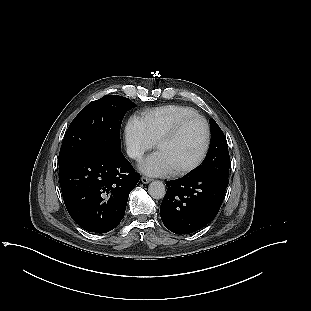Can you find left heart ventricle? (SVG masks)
<instances>
[{
  "label": "left heart ventricle",
  "mask_w": 311,
  "mask_h": 311,
  "mask_svg": "<svg viewBox=\"0 0 311 311\" xmlns=\"http://www.w3.org/2000/svg\"><path fill=\"white\" fill-rule=\"evenodd\" d=\"M203 143L204 126L195 120L188 123L174 139L160 143L157 150L165 155L174 171L193 162Z\"/></svg>",
  "instance_id": "left-heart-ventricle-1"
}]
</instances>
